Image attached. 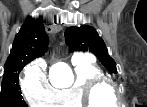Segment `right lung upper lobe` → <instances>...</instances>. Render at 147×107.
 I'll return each instance as SVG.
<instances>
[{
  "mask_svg": "<svg viewBox=\"0 0 147 107\" xmlns=\"http://www.w3.org/2000/svg\"><path fill=\"white\" fill-rule=\"evenodd\" d=\"M48 36L41 19H27L15 36L12 50L4 66V76L20 72V65L44 55L47 50Z\"/></svg>",
  "mask_w": 147,
  "mask_h": 107,
  "instance_id": "cb5924a9",
  "label": "right lung upper lobe"
}]
</instances>
